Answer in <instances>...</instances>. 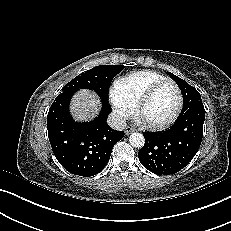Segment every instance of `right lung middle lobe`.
<instances>
[{"label":"right lung middle lobe","instance_id":"1","mask_svg":"<svg viewBox=\"0 0 231 231\" xmlns=\"http://www.w3.org/2000/svg\"><path fill=\"white\" fill-rule=\"evenodd\" d=\"M124 68L125 66L120 65L96 66L72 79L62 88V91H77L81 88L91 89L100 96L102 102L107 103L110 83Z\"/></svg>","mask_w":231,"mask_h":231}]
</instances>
